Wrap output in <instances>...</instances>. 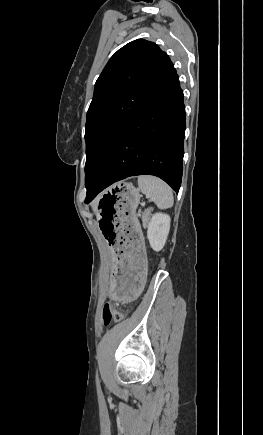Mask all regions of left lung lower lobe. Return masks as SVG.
<instances>
[{
	"mask_svg": "<svg viewBox=\"0 0 263 435\" xmlns=\"http://www.w3.org/2000/svg\"><path fill=\"white\" fill-rule=\"evenodd\" d=\"M183 97L175 74L126 128L87 188V204L114 182L142 174L160 177L174 191H179L186 128Z\"/></svg>",
	"mask_w": 263,
	"mask_h": 435,
	"instance_id": "1",
	"label": "left lung lower lobe"
}]
</instances>
